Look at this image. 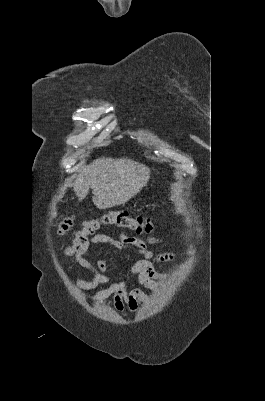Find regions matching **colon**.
Instances as JSON below:
<instances>
[{"label":"colon","mask_w":265,"mask_h":401,"mask_svg":"<svg viewBox=\"0 0 265 401\" xmlns=\"http://www.w3.org/2000/svg\"><path fill=\"white\" fill-rule=\"evenodd\" d=\"M73 217H64L57 225V234L64 235L73 225ZM155 219L151 217L137 216L132 217L127 211H109L103 216L88 220L83 228L77 232L73 243L65 247L68 255H74L81 251L87 244L89 236L105 225H116L128 228L137 234L149 233L153 230Z\"/></svg>","instance_id":"obj_1"}]
</instances>
